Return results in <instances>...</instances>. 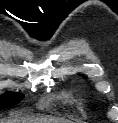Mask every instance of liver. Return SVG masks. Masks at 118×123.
<instances>
[{"mask_svg":"<svg viewBox=\"0 0 118 123\" xmlns=\"http://www.w3.org/2000/svg\"><path fill=\"white\" fill-rule=\"evenodd\" d=\"M0 123H71V121L62 118H53L48 116L16 115L11 118L1 119Z\"/></svg>","mask_w":118,"mask_h":123,"instance_id":"1","label":"liver"}]
</instances>
